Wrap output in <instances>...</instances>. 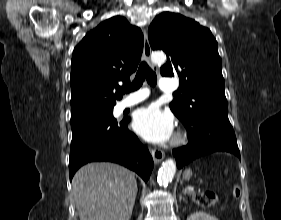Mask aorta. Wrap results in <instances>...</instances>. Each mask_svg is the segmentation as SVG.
<instances>
[{"instance_id":"aorta-1","label":"aorta","mask_w":281,"mask_h":220,"mask_svg":"<svg viewBox=\"0 0 281 220\" xmlns=\"http://www.w3.org/2000/svg\"><path fill=\"white\" fill-rule=\"evenodd\" d=\"M151 61L155 64H163L166 61V55L163 52H154L151 55ZM176 172V163L173 159H167L163 162L158 171L157 181L160 185H167L172 181Z\"/></svg>"}]
</instances>
